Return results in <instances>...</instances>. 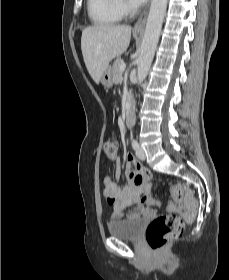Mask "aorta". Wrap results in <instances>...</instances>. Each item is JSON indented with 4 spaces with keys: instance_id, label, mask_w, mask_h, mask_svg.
Masks as SVG:
<instances>
[{
    "instance_id": "aorta-1",
    "label": "aorta",
    "mask_w": 229,
    "mask_h": 280,
    "mask_svg": "<svg viewBox=\"0 0 229 280\" xmlns=\"http://www.w3.org/2000/svg\"><path fill=\"white\" fill-rule=\"evenodd\" d=\"M167 8V0H152L144 37L138 58V83L141 84L150 69L155 50L159 41L163 19Z\"/></svg>"
}]
</instances>
